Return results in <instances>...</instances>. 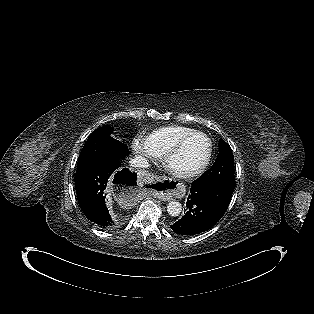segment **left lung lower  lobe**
I'll return each instance as SVG.
<instances>
[{"label":"left lung lower lobe","mask_w":314,"mask_h":314,"mask_svg":"<svg viewBox=\"0 0 314 314\" xmlns=\"http://www.w3.org/2000/svg\"><path fill=\"white\" fill-rule=\"evenodd\" d=\"M235 182H196L191 185L183 218L171 229L179 235H195L210 229L226 212Z\"/></svg>","instance_id":"0a47b994"}]
</instances>
